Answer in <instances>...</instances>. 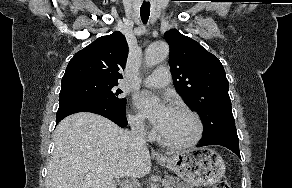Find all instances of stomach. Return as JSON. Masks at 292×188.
<instances>
[{
	"label": "stomach",
	"instance_id": "1",
	"mask_svg": "<svg viewBox=\"0 0 292 188\" xmlns=\"http://www.w3.org/2000/svg\"><path fill=\"white\" fill-rule=\"evenodd\" d=\"M157 160L190 186L213 185L224 176L226 170L222 157L207 147L187 149Z\"/></svg>",
	"mask_w": 292,
	"mask_h": 188
}]
</instances>
